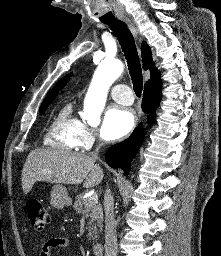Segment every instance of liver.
<instances>
[{"label":"liver","instance_id":"6515ba94","mask_svg":"<svg viewBox=\"0 0 221 256\" xmlns=\"http://www.w3.org/2000/svg\"><path fill=\"white\" fill-rule=\"evenodd\" d=\"M96 159L62 149H35L29 153L22 170V189L28 194L36 182L81 184L90 188L103 179Z\"/></svg>","mask_w":221,"mask_h":256}]
</instances>
